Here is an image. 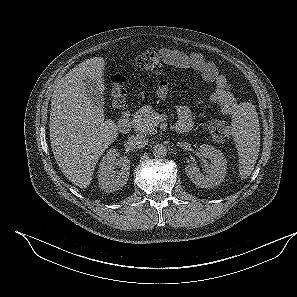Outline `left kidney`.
Listing matches in <instances>:
<instances>
[{
	"label": "left kidney",
	"mask_w": 297,
	"mask_h": 297,
	"mask_svg": "<svg viewBox=\"0 0 297 297\" xmlns=\"http://www.w3.org/2000/svg\"><path fill=\"white\" fill-rule=\"evenodd\" d=\"M200 152L205 158L210 160V164L207 165L205 173H202L195 164L186 166L185 171L187 176L200 188L218 186L226 175V158L221 151L208 144H202L200 146Z\"/></svg>",
	"instance_id": "5707ae66"
}]
</instances>
